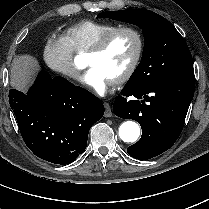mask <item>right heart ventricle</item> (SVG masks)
<instances>
[{
    "instance_id": "1",
    "label": "right heart ventricle",
    "mask_w": 209,
    "mask_h": 209,
    "mask_svg": "<svg viewBox=\"0 0 209 209\" xmlns=\"http://www.w3.org/2000/svg\"><path fill=\"white\" fill-rule=\"evenodd\" d=\"M118 24L108 21L83 20L68 26L64 30V37L72 50L87 52L102 36Z\"/></svg>"
}]
</instances>
